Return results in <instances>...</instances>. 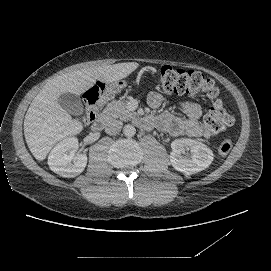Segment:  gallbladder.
Here are the masks:
<instances>
[{
    "instance_id": "bac80fb5",
    "label": "gallbladder",
    "mask_w": 271,
    "mask_h": 271,
    "mask_svg": "<svg viewBox=\"0 0 271 271\" xmlns=\"http://www.w3.org/2000/svg\"><path fill=\"white\" fill-rule=\"evenodd\" d=\"M58 104L71 115L79 116L82 111L81 99L72 93H62L57 98Z\"/></svg>"
}]
</instances>
